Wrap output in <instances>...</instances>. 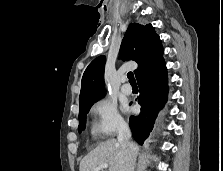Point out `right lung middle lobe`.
<instances>
[{"label":"right lung middle lobe","mask_w":223,"mask_h":171,"mask_svg":"<svg viewBox=\"0 0 223 171\" xmlns=\"http://www.w3.org/2000/svg\"><path fill=\"white\" fill-rule=\"evenodd\" d=\"M93 105L92 104H88L86 106H83V107H80V110H79V126H78V132L81 133L82 130L85 129V126H86V115L87 113L89 112L91 106Z\"/></svg>","instance_id":"dd1d6c3e"}]
</instances>
